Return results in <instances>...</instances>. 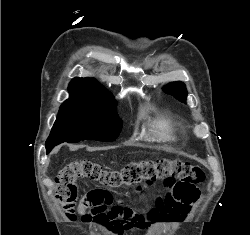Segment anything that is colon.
Listing matches in <instances>:
<instances>
[{
  "instance_id": "obj_1",
  "label": "colon",
  "mask_w": 250,
  "mask_h": 235,
  "mask_svg": "<svg viewBox=\"0 0 250 235\" xmlns=\"http://www.w3.org/2000/svg\"><path fill=\"white\" fill-rule=\"evenodd\" d=\"M89 179L107 188L133 186L138 183L154 185L163 183L172 187L173 197L187 205L195 203L204 181L202 169L181 159L134 160L119 169H107L88 159L67 163L56 177L55 197L65 216L75 218L79 200L77 181ZM85 222L100 225L111 233L122 234L135 226L147 224V219L133 210L115 202L106 189L88 192L83 198Z\"/></svg>"
}]
</instances>
